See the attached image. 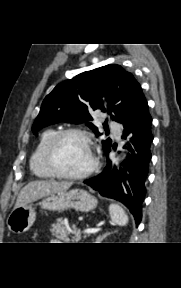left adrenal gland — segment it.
<instances>
[{"instance_id": "1", "label": "left adrenal gland", "mask_w": 181, "mask_h": 288, "mask_svg": "<svg viewBox=\"0 0 181 288\" xmlns=\"http://www.w3.org/2000/svg\"><path fill=\"white\" fill-rule=\"evenodd\" d=\"M111 233H105L104 235H100L97 237L96 239V243H102L103 239H105L108 235H110Z\"/></svg>"}]
</instances>
